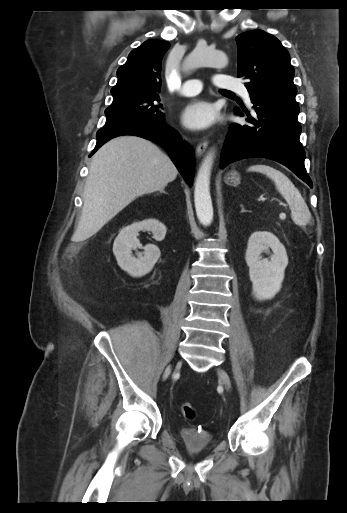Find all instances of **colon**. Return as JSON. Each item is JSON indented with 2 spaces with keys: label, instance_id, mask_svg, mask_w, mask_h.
<instances>
[{
  "label": "colon",
  "instance_id": "colon-1",
  "mask_svg": "<svg viewBox=\"0 0 347 513\" xmlns=\"http://www.w3.org/2000/svg\"><path fill=\"white\" fill-rule=\"evenodd\" d=\"M180 410H181V413L184 416V418H186L188 420H192L196 416L195 408L189 402H183L180 405Z\"/></svg>",
  "mask_w": 347,
  "mask_h": 513
}]
</instances>
